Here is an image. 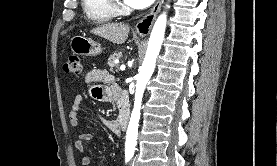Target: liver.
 <instances>
[{
  "instance_id": "obj_1",
  "label": "liver",
  "mask_w": 277,
  "mask_h": 166,
  "mask_svg": "<svg viewBox=\"0 0 277 166\" xmlns=\"http://www.w3.org/2000/svg\"><path fill=\"white\" fill-rule=\"evenodd\" d=\"M129 31V25L122 23H106L93 28L90 32L114 44H123L128 38Z\"/></svg>"
}]
</instances>
